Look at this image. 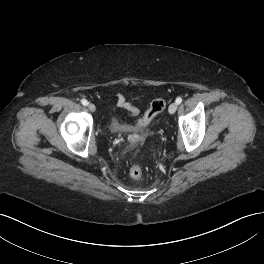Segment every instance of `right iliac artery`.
<instances>
[{
  "label": "right iliac artery",
  "mask_w": 264,
  "mask_h": 264,
  "mask_svg": "<svg viewBox=\"0 0 264 264\" xmlns=\"http://www.w3.org/2000/svg\"><path fill=\"white\" fill-rule=\"evenodd\" d=\"M81 103H82L84 106H87L88 101H87L86 99H82V100H81Z\"/></svg>",
  "instance_id": "obj_1"
}]
</instances>
